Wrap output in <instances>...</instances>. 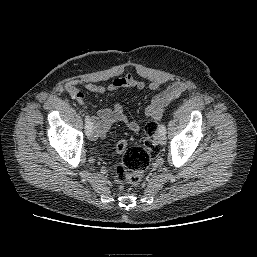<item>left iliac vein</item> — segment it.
I'll use <instances>...</instances> for the list:
<instances>
[{
	"label": "left iliac vein",
	"mask_w": 257,
	"mask_h": 257,
	"mask_svg": "<svg viewBox=\"0 0 257 257\" xmlns=\"http://www.w3.org/2000/svg\"><path fill=\"white\" fill-rule=\"evenodd\" d=\"M155 138L158 141V143H160V144H165L166 143L165 134L161 133L160 131L157 133Z\"/></svg>",
	"instance_id": "1"
}]
</instances>
